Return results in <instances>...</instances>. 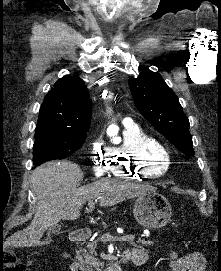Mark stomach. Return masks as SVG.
<instances>
[{
  "label": "stomach",
  "mask_w": 221,
  "mask_h": 271,
  "mask_svg": "<svg viewBox=\"0 0 221 271\" xmlns=\"http://www.w3.org/2000/svg\"><path fill=\"white\" fill-rule=\"evenodd\" d=\"M133 215L143 227L156 229L169 223L172 207L160 193H140L133 205Z\"/></svg>",
  "instance_id": "0dacf381"
}]
</instances>
